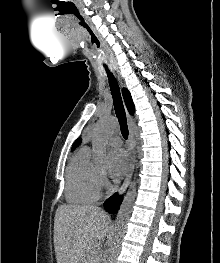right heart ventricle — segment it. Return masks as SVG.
<instances>
[{
  "label": "right heart ventricle",
  "instance_id": "1",
  "mask_svg": "<svg viewBox=\"0 0 220 263\" xmlns=\"http://www.w3.org/2000/svg\"><path fill=\"white\" fill-rule=\"evenodd\" d=\"M99 195L97 172L90 163L89 149L83 147L68 164L65 197L72 204H88L95 202Z\"/></svg>",
  "mask_w": 220,
  "mask_h": 263
}]
</instances>
